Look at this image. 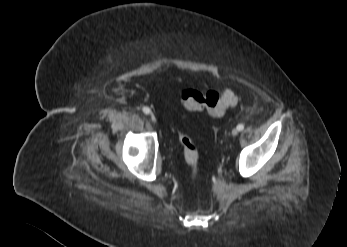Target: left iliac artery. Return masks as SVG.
Returning a JSON list of instances; mask_svg holds the SVG:
<instances>
[{
	"label": "left iliac artery",
	"mask_w": 347,
	"mask_h": 247,
	"mask_svg": "<svg viewBox=\"0 0 347 247\" xmlns=\"http://www.w3.org/2000/svg\"><path fill=\"white\" fill-rule=\"evenodd\" d=\"M237 129H238L239 131H242V130L244 129V125H243V124H239V125L237 126Z\"/></svg>",
	"instance_id": "obj_1"
}]
</instances>
